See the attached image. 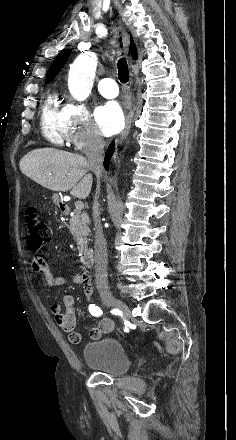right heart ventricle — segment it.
Returning a JSON list of instances; mask_svg holds the SVG:
<instances>
[{
    "label": "right heart ventricle",
    "mask_w": 236,
    "mask_h": 440,
    "mask_svg": "<svg viewBox=\"0 0 236 440\" xmlns=\"http://www.w3.org/2000/svg\"><path fill=\"white\" fill-rule=\"evenodd\" d=\"M41 130L44 137L55 145H62L66 139L63 108L55 94L48 95L42 106Z\"/></svg>",
    "instance_id": "1"
}]
</instances>
